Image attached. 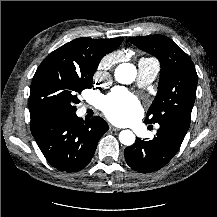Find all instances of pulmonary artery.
<instances>
[{
    "mask_svg": "<svg viewBox=\"0 0 217 217\" xmlns=\"http://www.w3.org/2000/svg\"><path fill=\"white\" fill-rule=\"evenodd\" d=\"M159 64L153 59L143 58L138 63V84L146 86L151 84L157 77Z\"/></svg>",
    "mask_w": 217,
    "mask_h": 217,
    "instance_id": "obj_1",
    "label": "pulmonary artery"
}]
</instances>
